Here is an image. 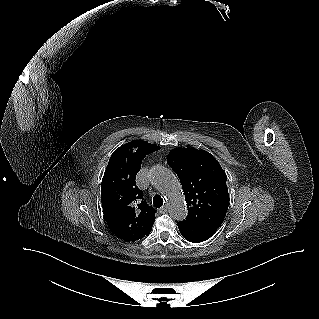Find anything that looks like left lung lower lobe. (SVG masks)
<instances>
[{
	"label": "left lung lower lobe",
	"instance_id": "0a47b994",
	"mask_svg": "<svg viewBox=\"0 0 319 319\" xmlns=\"http://www.w3.org/2000/svg\"><path fill=\"white\" fill-rule=\"evenodd\" d=\"M178 228L182 236L193 243L203 242L209 239L218 228L201 225L187 220H183L177 223Z\"/></svg>",
	"mask_w": 319,
	"mask_h": 319
}]
</instances>
